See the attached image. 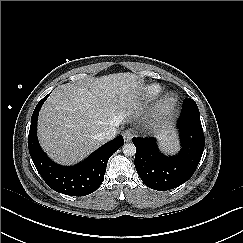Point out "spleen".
I'll return each mask as SVG.
<instances>
[{
  "instance_id": "1",
  "label": "spleen",
  "mask_w": 243,
  "mask_h": 243,
  "mask_svg": "<svg viewBox=\"0 0 243 243\" xmlns=\"http://www.w3.org/2000/svg\"><path fill=\"white\" fill-rule=\"evenodd\" d=\"M163 145H164L165 149L168 151H173L177 146L176 142H173V141H167Z\"/></svg>"
}]
</instances>
